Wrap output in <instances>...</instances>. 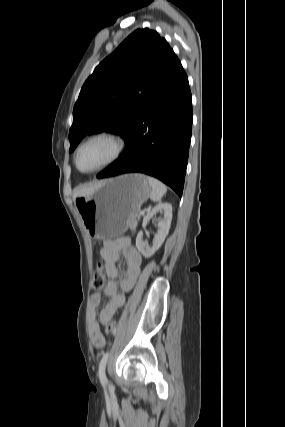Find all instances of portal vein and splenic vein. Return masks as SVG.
Instances as JSON below:
<instances>
[{"instance_id": "portal-vein-and-splenic-vein-1", "label": "portal vein and splenic vein", "mask_w": 285, "mask_h": 427, "mask_svg": "<svg viewBox=\"0 0 285 427\" xmlns=\"http://www.w3.org/2000/svg\"><path fill=\"white\" fill-rule=\"evenodd\" d=\"M145 214V211L144 210H141L140 211V215H144Z\"/></svg>"}]
</instances>
